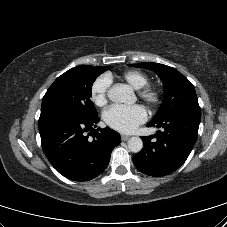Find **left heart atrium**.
I'll return each mask as SVG.
<instances>
[{
	"label": "left heart atrium",
	"mask_w": 227,
	"mask_h": 227,
	"mask_svg": "<svg viewBox=\"0 0 227 227\" xmlns=\"http://www.w3.org/2000/svg\"><path fill=\"white\" fill-rule=\"evenodd\" d=\"M104 122L112 129L131 133L147 119L145 109L140 105H112L103 113Z\"/></svg>",
	"instance_id": "39dd6f15"
}]
</instances>
